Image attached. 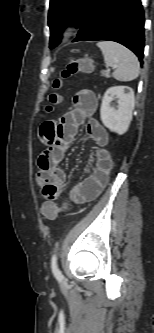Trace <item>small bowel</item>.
I'll return each mask as SVG.
<instances>
[{
	"instance_id": "c3829d8e",
	"label": "small bowel",
	"mask_w": 154,
	"mask_h": 333,
	"mask_svg": "<svg viewBox=\"0 0 154 333\" xmlns=\"http://www.w3.org/2000/svg\"><path fill=\"white\" fill-rule=\"evenodd\" d=\"M72 102L71 110L60 119L46 120L39 127L38 136L45 148L38 159L36 180L47 201L54 202L60 197L66 179L60 164L80 126L86 124V131L96 146V168L90 176L74 185L69 194L74 203L82 204L100 195L109 180L112 161L106 150L108 132L93 118L98 106L96 94L82 89L76 92Z\"/></svg>"
}]
</instances>
